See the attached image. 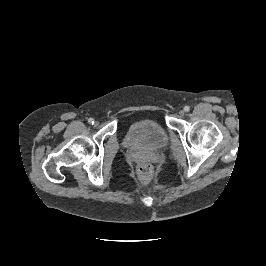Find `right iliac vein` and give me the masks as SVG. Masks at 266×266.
<instances>
[{
	"label": "right iliac vein",
	"mask_w": 266,
	"mask_h": 266,
	"mask_svg": "<svg viewBox=\"0 0 266 266\" xmlns=\"http://www.w3.org/2000/svg\"><path fill=\"white\" fill-rule=\"evenodd\" d=\"M99 123L98 122H95V125L97 126Z\"/></svg>",
	"instance_id": "63e3f726"
}]
</instances>
